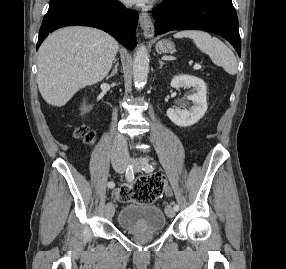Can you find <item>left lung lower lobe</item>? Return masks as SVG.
<instances>
[{"instance_id":"0a47b994","label":"left lung lower lobe","mask_w":286,"mask_h":269,"mask_svg":"<svg viewBox=\"0 0 286 269\" xmlns=\"http://www.w3.org/2000/svg\"><path fill=\"white\" fill-rule=\"evenodd\" d=\"M155 33L198 29L220 35L241 55L238 18L231 0H165L153 10Z\"/></svg>"}]
</instances>
